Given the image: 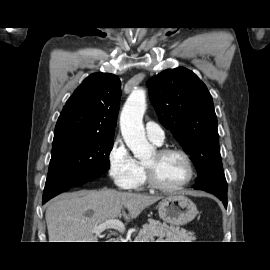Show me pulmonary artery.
<instances>
[{"instance_id": "e3ab8cb5", "label": "pulmonary artery", "mask_w": 270, "mask_h": 270, "mask_svg": "<svg viewBox=\"0 0 270 270\" xmlns=\"http://www.w3.org/2000/svg\"><path fill=\"white\" fill-rule=\"evenodd\" d=\"M147 137L154 143L160 145L163 143L165 134L163 129L155 122L149 121L145 125Z\"/></svg>"}]
</instances>
